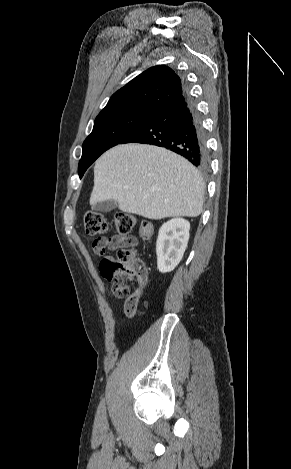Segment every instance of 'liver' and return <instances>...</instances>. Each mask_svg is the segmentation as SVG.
Returning <instances> with one entry per match:
<instances>
[{"label":"liver","mask_w":291,"mask_h":469,"mask_svg":"<svg viewBox=\"0 0 291 469\" xmlns=\"http://www.w3.org/2000/svg\"><path fill=\"white\" fill-rule=\"evenodd\" d=\"M204 192L201 175L185 158L153 145L124 144L96 161L90 204L113 200L123 212L154 220L197 217Z\"/></svg>","instance_id":"liver-1"}]
</instances>
